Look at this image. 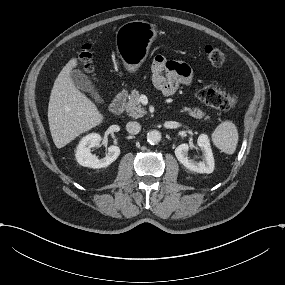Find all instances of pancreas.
<instances>
[{
  "label": "pancreas",
  "mask_w": 285,
  "mask_h": 285,
  "mask_svg": "<svg viewBox=\"0 0 285 285\" xmlns=\"http://www.w3.org/2000/svg\"><path fill=\"white\" fill-rule=\"evenodd\" d=\"M125 110L127 113H129V116L135 119L143 117L147 113V111L140 104L139 91L135 89L131 91L130 99L125 105ZM184 110L187 111L190 116L196 119H202L205 116V113L199 108H185ZM205 119H209V117H206Z\"/></svg>",
  "instance_id": "1"
}]
</instances>
